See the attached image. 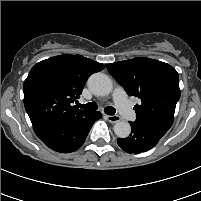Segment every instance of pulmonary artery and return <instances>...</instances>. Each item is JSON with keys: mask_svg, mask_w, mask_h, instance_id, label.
Masks as SVG:
<instances>
[{"mask_svg": "<svg viewBox=\"0 0 201 201\" xmlns=\"http://www.w3.org/2000/svg\"><path fill=\"white\" fill-rule=\"evenodd\" d=\"M113 99L119 113L124 119L128 121H134L136 119V113L129 103L127 94L122 87L115 88L113 92Z\"/></svg>", "mask_w": 201, "mask_h": 201, "instance_id": "1", "label": "pulmonary artery"}]
</instances>
